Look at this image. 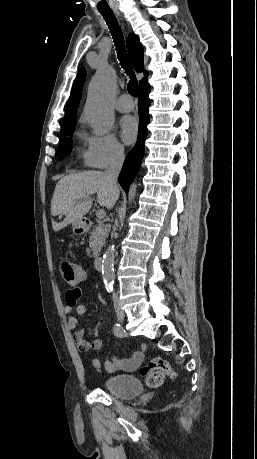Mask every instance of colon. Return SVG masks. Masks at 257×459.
Returning <instances> with one entry per match:
<instances>
[{"mask_svg": "<svg viewBox=\"0 0 257 459\" xmlns=\"http://www.w3.org/2000/svg\"><path fill=\"white\" fill-rule=\"evenodd\" d=\"M60 273L65 282L69 285L78 283L84 277L83 269L76 263L65 261L60 265ZM139 375L145 378L149 387H159L162 385L166 375L176 377L168 361L162 358H153L146 365L140 367Z\"/></svg>", "mask_w": 257, "mask_h": 459, "instance_id": "colon-1", "label": "colon"}]
</instances>
